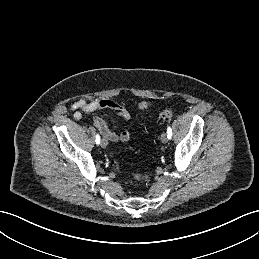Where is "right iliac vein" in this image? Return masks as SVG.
<instances>
[{"label": "right iliac vein", "instance_id": "obj_1", "mask_svg": "<svg viewBox=\"0 0 259 259\" xmlns=\"http://www.w3.org/2000/svg\"><path fill=\"white\" fill-rule=\"evenodd\" d=\"M100 144H101V147L106 148V147H107L108 142H107V140H106V139H104V138H103V139L101 140V143H100Z\"/></svg>", "mask_w": 259, "mask_h": 259}]
</instances>
